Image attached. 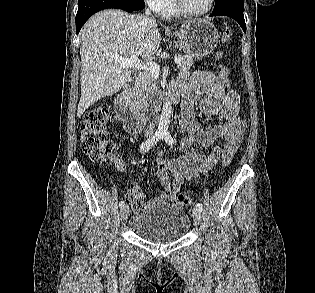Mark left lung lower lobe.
<instances>
[{
	"label": "left lung lower lobe",
	"instance_id": "1",
	"mask_svg": "<svg viewBox=\"0 0 315 293\" xmlns=\"http://www.w3.org/2000/svg\"><path fill=\"white\" fill-rule=\"evenodd\" d=\"M218 16V15H224V16H229L231 18H233L234 20H236L239 25L241 26V28L243 29V31L246 33V24H245V20H244V15H243V10H239V9H224V10H220L218 12H213L212 14H210V16Z\"/></svg>",
	"mask_w": 315,
	"mask_h": 293
}]
</instances>
